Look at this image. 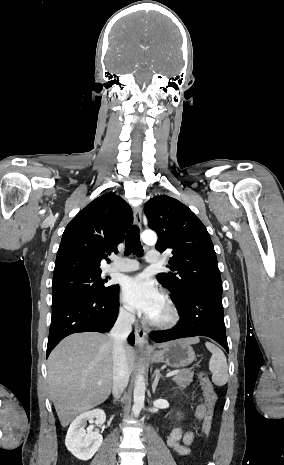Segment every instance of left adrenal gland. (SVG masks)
<instances>
[{
	"label": "left adrenal gland",
	"mask_w": 284,
	"mask_h": 465,
	"mask_svg": "<svg viewBox=\"0 0 284 465\" xmlns=\"http://www.w3.org/2000/svg\"><path fill=\"white\" fill-rule=\"evenodd\" d=\"M155 377V379H154ZM161 375H160V371H158V369H156V371H154V375H152V379H154V383L152 385V393H155V389L158 385V381L160 379Z\"/></svg>",
	"instance_id": "obj_1"
}]
</instances>
